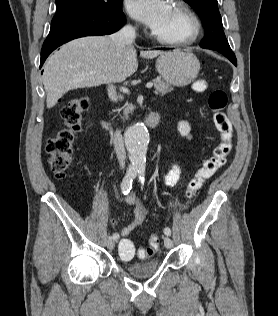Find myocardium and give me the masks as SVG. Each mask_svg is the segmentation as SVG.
<instances>
[{
    "label": "myocardium",
    "instance_id": "1",
    "mask_svg": "<svg viewBox=\"0 0 278 316\" xmlns=\"http://www.w3.org/2000/svg\"><path fill=\"white\" fill-rule=\"evenodd\" d=\"M172 7L187 17L190 23L189 32L185 36L176 38L161 36L156 32H153L152 37L159 43L169 46H187L194 43L201 32V22L198 15L187 3L183 1H174Z\"/></svg>",
    "mask_w": 278,
    "mask_h": 316
}]
</instances>
